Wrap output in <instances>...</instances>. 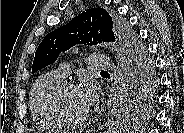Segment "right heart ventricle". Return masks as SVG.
Masks as SVG:
<instances>
[{"label": "right heart ventricle", "mask_w": 184, "mask_h": 133, "mask_svg": "<svg viewBox=\"0 0 184 133\" xmlns=\"http://www.w3.org/2000/svg\"><path fill=\"white\" fill-rule=\"evenodd\" d=\"M56 70L48 71L35 81L30 94V110L35 121L42 126H56L58 121L49 108V96L55 86L63 81Z\"/></svg>", "instance_id": "right-heart-ventricle-1"}]
</instances>
